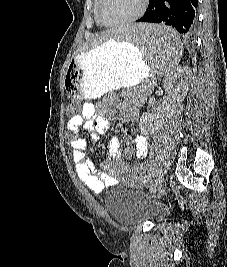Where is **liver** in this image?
I'll return each mask as SVG.
<instances>
[{
    "mask_svg": "<svg viewBox=\"0 0 227 267\" xmlns=\"http://www.w3.org/2000/svg\"><path fill=\"white\" fill-rule=\"evenodd\" d=\"M118 33H121V30H117V27L112 30L105 31L103 33H100L99 35L92 37L90 44L92 46H98L109 39L115 38L116 36H118Z\"/></svg>",
    "mask_w": 227,
    "mask_h": 267,
    "instance_id": "liver-1",
    "label": "liver"
}]
</instances>
